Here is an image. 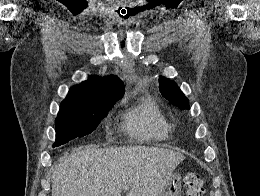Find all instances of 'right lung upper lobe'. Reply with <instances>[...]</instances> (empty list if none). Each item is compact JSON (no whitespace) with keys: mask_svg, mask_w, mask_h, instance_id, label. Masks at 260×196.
<instances>
[{"mask_svg":"<svg viewBox=\"0 0 260 196\" xmlns=\"http://www.w3.org/2000/svg\"><path fill=\"white\" fill-rule=\"evenodd\" d=\"M124 92L123 83L116 76H90L70 89L61 107L113 106Z\"/></svg>","mask_w":260,"mask_h":196,"instance_id":"cb5924a9","label":"right lung upper lobe"}]
</instances>
